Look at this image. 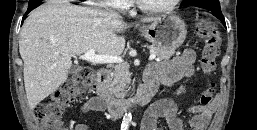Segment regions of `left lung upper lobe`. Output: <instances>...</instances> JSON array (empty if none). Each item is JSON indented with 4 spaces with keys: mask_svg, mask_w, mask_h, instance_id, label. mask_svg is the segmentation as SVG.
<instances>
[{
    "mask_svg": "<svg viewBox=\"0 0 257 130\" xmlns=\"http://www.w3.org/2000/svg\"><path fill=\"white\" fill-rule=\"evenodd\" d=\"M189 4H214V5H220L219 0H184L182 2V5H189Z\"/></svg>",
    "mask_w": 257,
    "mask_h": 130,
    "instance_id": "left-lung-upper-lobe-1",
    "label": "left lung upper lobe"
}]
</instances>
